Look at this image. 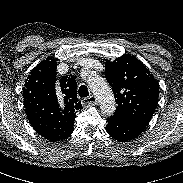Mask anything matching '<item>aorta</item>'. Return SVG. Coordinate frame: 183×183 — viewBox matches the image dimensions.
I'll return each instance as SVG.
<instances>
[{"mask_svg": "<svg viewBox=\"0 0 183 183\" xmlns=\"http://www.w3.org/2000/svg\"><path fill=\"white\" fill-rule=\"evenodd\" d=\"M89 87L97 97L100 109L105 116H111L115 111V98L109 84L98 75H91L87 80Z\"/></svg>", "mask_w": 183, "mask_h": 183, "instance_id": "1", "label": "aorta"}]
</instances>
